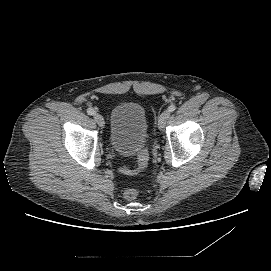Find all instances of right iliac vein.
Segmentation results:
<instances>
[{
  "mask_svg": "<svg viewBox=\"0 0 271 271\" xmlns=\"http://www.w3.org/2000/svg\"><path fill=\"white\" fill-rule=\"evenodd\" d=\"M94 120L96 121V123L100 126V127H104L105 126V121L102 115L95 113L94 114Z\"/></svg>",
  "mask_w": 271,
  "mask_h": 271,
  "instance_id": "right-iliac-vein-1",
  "label": "right iliac vein"
}]
</instances>
